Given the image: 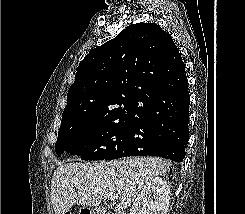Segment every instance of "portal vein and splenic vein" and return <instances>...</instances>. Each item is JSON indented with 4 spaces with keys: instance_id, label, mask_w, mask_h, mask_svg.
<instances>
[{
    "instance_id": "18ae733b",
    "label": "portal vein and splenic vein",
    "mask_w": 245,
    "mask_h": 214,
    "mask_svg": "<svg viewBox=\"0 0 245 214\" xmlns=\"http://www.w3.org/2000/svg\"><path fill=\"white\" fill-rule=\"evenodd\" d=\"M76 187H78L79 185L78 184H75ZM111 201H115L116 199H118V195L114 194V195H110L108 197Z\"/></svg>"
}]
</instances>
